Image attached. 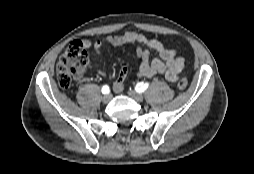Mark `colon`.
<instances>
[{
	"mask_svg": "<svg viewBox=\"0 0 254 174\" xmlns=\"http://www.w3.org/2000/svg\"><path fill=\"white\" fill-rule=\"evenodd\" d=\"M89 63V56L82 41L76 40L68 45L61 55L56 68V81L61 88H68L74 77L82 73ZM187 80L177 82L179 90H185Z\"/></svg>",
	"mask_w": 254,
	"mask_h": 174,
	"instance_id": "obj_1",
	"label": "colon"
}]
</instances>
